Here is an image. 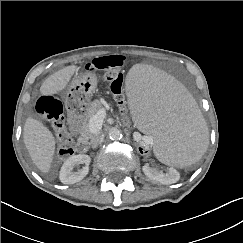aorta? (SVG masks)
<instances>
[{
	"instance_id": "aorta-1",
	"label": "aorta",
	"mask_w": 243,
	"mask_h": 243,
	"mask_svg": "<svg viewBox=\"0 0 243 243\" xmlns=\"http://www.w3.org/2000/svg\"><path fill=\"white\" fill-rule=\"evenodd\" d=\"M108 136L112 140H119L123 135L120 129L112 127L108 130Z\"/></svg>"
}]
</instances>
